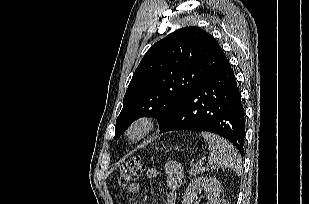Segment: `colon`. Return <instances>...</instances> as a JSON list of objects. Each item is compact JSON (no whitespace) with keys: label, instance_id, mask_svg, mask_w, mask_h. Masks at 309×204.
I'll list each match as a JSON object with an SVG mask.
<instances>
[{"label":"colon","instance_id":"5ec220e1","mask_svg":"<svg viewBox=\"0 0 309 204\" xmlns=\"http://www.w3.org/2000/svg\"><path fill=\"white\" fill-rule=\"evenodd\" d=\"M143 164L140 158H134L127 161L120 170L119 184L122 187L130 185L140 175Z\"/></svg>","mask_w":309,"mask_h":204}]
</instances>
